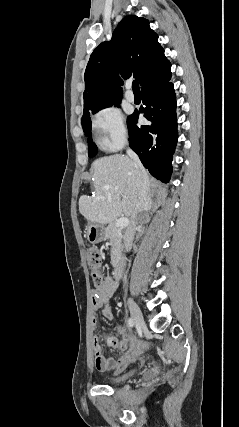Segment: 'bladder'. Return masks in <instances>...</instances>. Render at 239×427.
Returning <instances> with one entry per match:
<instances>
[{"label":"bladder","instance_id":"1","mask_svg":"<svg viewBox=\"0 0 239 427\" xmlns=\"http://www.w3.org/2000/svg\"><path fill=\"white\" fill-rule=\"evenodd\" d=\"M134 373H135V371H131V372L124 374V375H121V376H112V377L107 378V381L111 384H117V383H120V382L127 380L128 378L133 376Z\"/></svg>","mask_w":239,"mask_h":427}]
</instances>
